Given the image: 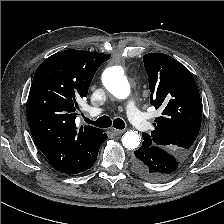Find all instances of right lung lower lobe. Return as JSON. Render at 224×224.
Instances as JSON below:
<instances>
[{
	"mask_svg": "<svg viewBox=\"0 0 224 224\" xmlns=\"http://www.w3.org/2000/svg\"><path fill=\"white\" fill-rule=\"evenodd\" d=\"M107 139V134L105 133V137L103 138V141L101 142V144L106 141ZM101 144L98 146V148L93 152L92 156L88 159V161L84 164V166L77 172V173H80V172H83V171H86L87 169H89L90 167H92L97 159V155H98V151H99V148L101 146ZM76 173V174H77Z\"/></svg>",
	"mask_w": 224,
	"mask_h": 224,
	"instance_id": "obj_1",
	"label": "right lung lower lobe"
}]
</instances>
